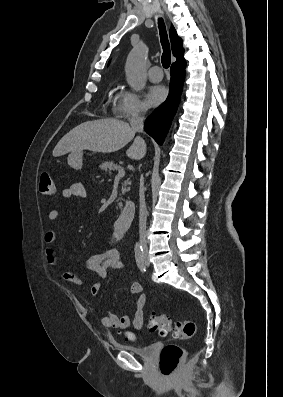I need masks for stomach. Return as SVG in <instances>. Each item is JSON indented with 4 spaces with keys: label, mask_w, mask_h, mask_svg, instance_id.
Wrapping results in <instances>:
<instances>
[{
    "label": "stomach",
    "mask_w": 283,
    "mask_h": 397,
    "mask_svg": "<svg viewBox=\"0 0 283 397\" xmlns=\"http://www.w3.org/2000/svg\"><path fill=\"white\" fill-rule=\"evenodd\" d=\"M82 151L71 152L68 156V164L75 170L82 168Z\"/></svg>",
    "instance_id": "obj_1"
}]
</instances>
